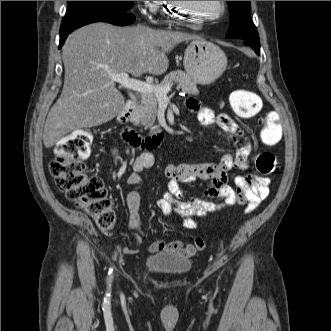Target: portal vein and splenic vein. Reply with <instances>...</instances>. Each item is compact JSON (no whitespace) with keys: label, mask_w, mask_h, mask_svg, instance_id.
Returning <instances> with one entry per match:
<instances>
[{"label":"portal vein and splenic vein","mask_w":331,"mask_h":331,"mask_svg":"<svg viewBox=\"0 0 331 331\" xmlns=\"http://www.w3.org/2000/svg\"><path fill=\"white\" fill-rule=\"evenodd\" d=\"M112 81L119 83L126 89L137 91L139 93H154L158 99L167 97V93L171 90L173 83H169L164 87L155 86L148 82H142L133 78H130L127 73L111 74Z\"/></svg>","instance_id":"18ae733b"}]
</instances>
